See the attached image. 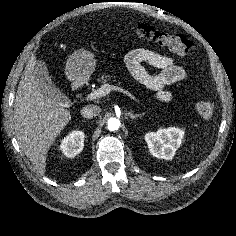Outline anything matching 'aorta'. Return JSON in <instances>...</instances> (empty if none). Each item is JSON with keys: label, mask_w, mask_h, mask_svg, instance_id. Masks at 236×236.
Segmentation results:
<instances>
[{"label": "aorta", "mask_w": 236, "mask_h": 236, "mask_svg": "<svg viewBox=\"0 0 236 236\" xmlns=\"http://www.w3.org/2000/svg\"><path fill=\"white\" fill-rule=\"evenodd\" d=\"M107 127L110 131H116L120 127V120L117 118H110L107 123Z\"/></svg>", "instance_id": "762f6f07"}]
</instances>
